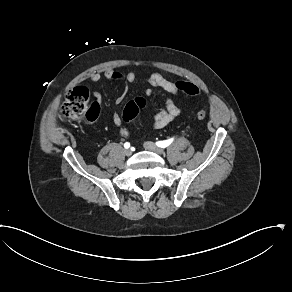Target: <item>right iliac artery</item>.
<instances>
[{
    "mask_svg": "<svg viewBox=\"0 0 292 292\" xmlns=\"http://www.w3.org/2000/svg\"><path fill=\"white\" fill-rule=\"evenodd\" d=\"M124 147H125L126 149H128V148L130 147V143H129V142L124 143Z\"/></svg>",
    "mask_w": 292,
    "mask_h": 292,
    "instance_id": "obj_1",
    "label": "right iliac artery"
}]
</instances>
